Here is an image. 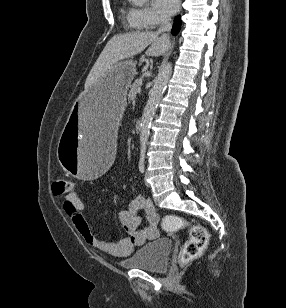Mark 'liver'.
I'll return each mask as SVG.
<instances>
[{
	"label": "liver",
	"mask_w": 286,
	"mask_h": 308,
	"mask_svg": "<svg viewBox=\"0 0 286 308\" xmlns=\"http://www.w3.org/2000/svg\"><path fill=\"white\" fill-rule=\"evenodd\" d=\"M171 47L168 36L158 32H131L113 36L104 47L86 81L85 90L105 76L118 62L132 58L146 48V56L159 57Z\"/></svg>",
	"instance_id": "6515ba94"
}]
</instances>
